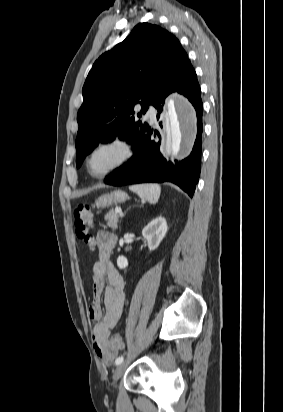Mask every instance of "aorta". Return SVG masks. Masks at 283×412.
I'll list each match as a JSON object with an SVG mask.
<instances>
[{
  "mask_svg": "<svg viewBox=\"0 0 283 412\" xmlns=\"http://www.w3.org/2000/svg\"><path fill=\"white\" fill-rule=\"evenodd\" d=\"M168 147L176 156L183 143L194 136L195 111L192 105L184 98H178V106L169 102Z\"/></svg>",
  "mask_w": 283,
  "mask_h": 412,
  "instance_id": "aorta-1",
  "label": "aorta"
}]
</instances>
